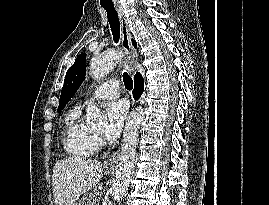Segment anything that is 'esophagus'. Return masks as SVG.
<instances>
[{
    "instance_id": "esophagus-1",
    "label": "esophagus",
    "mask_w": 269,
    "mask_h": 205,
    "mask_svg": "<svg viewBox=\"0 0 269 205\" xmlns=\"http://www.w3.org/2000/svg\"><path fill=\"white\" fill-rule=\"evenodd\" d=\"M116 11L118 13L120 23H121V39H122V47L125 53V60L123 63L124 69L130 74L134 75V68L132 66L133 59L135 57L136 51L131 43V35L128 27L127 19L123 13L121 7H116ZM120 156V148L116 150L106 161L105 165H115Z\"/></svg>"
}]
</instances>
